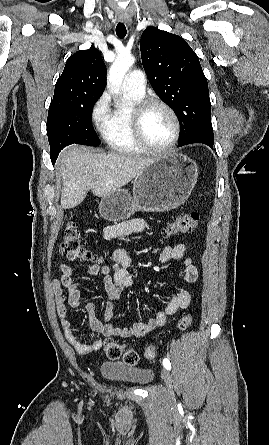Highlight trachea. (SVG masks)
Returning a JSON list of instances; mask_svg holds the SVG:
<instances>
[{
	"instance_id": "1",
	"label": "trachea",
	"mask_w": 269,
	"mask_h": 445,
	"mask_svg": "<svg viewBox=\"0 0 269 445\" xmlns=\"http://www.w3.org/2000/svg\"><path fill=\"white\" fill-rule=\"evenodd\" d=\"M116 34L120 39H123L126 34H127V30L126 27L124 25V23H118L116 26Z\"/></svg>"
}]
</instances>
